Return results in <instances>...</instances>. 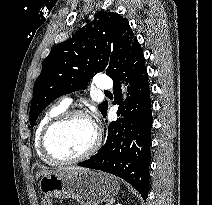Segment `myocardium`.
<instances>
[{"instance_id":"1","label":"myocardium","mask_w":212,"mask_h":205,"mask_svg":"<svg viewBox=\"0 0 212 205\" xmlns=\"http://www.w3.org/2000/svg\"><path fill=\"white\" fill-rule=\"evenodd\" d=\"M75 117H83V118H86V119L89 120L88 115L82 110H78V109L65 110L62 113H60L59 115H57L56 117H54L46 125V127L44 128V130L42 132L41 140H40L41 149H42L43 153L45 154V156L47 158H49L51 161H53L54 163L72 164V163L82 161V160L90 157L91 155H93L100 146L101 135H100L99 131L97 130L94 141L92 142V144L89 146V148L87 150H85L83 153H81L78 156H75V157H72V158H63V157L58 156L52 150V148L50 146V136H51L52 132L57 127L62 125L63 123H65L68 120L75 118Z\"/></svg>"}]
</instances>
